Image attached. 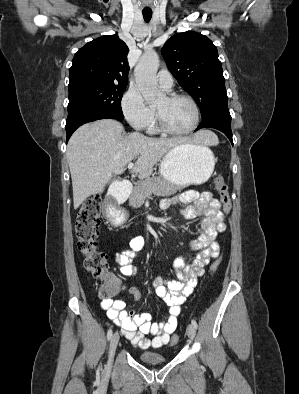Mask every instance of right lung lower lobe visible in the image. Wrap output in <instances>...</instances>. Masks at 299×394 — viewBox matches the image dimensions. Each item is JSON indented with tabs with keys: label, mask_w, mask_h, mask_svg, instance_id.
<instances>
[{
	"label": "right lung lower lobe",
	"mask_w": 299,
	"mask_h": 394,
	"mask_svg": "<svg viewBox=\"0 0 299 394\" xmlns=\"http://www.w3.org/2000/svg\"><path fill=\"white\" fill-rule=\"evenodd\" d=\"M116 119L123 120L124 117L116 116L104 109H98L93 107H79L68 110V117L66 121V134L67 141L69 140L72 133L81 125L92 122L99 119Z\"/></svg>",
	"instance_id": "1"
}]
</instances>
